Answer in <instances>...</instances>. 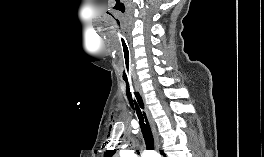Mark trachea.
<instances>
[{
    "mask_svg": "<svg viewBox=\"0 0 264 157\" xmlns=\"http://www.w3.org/2000/svg\"><path fill=\"white\" fill-rule=\"evenodd\" d=\"M121 51L122 78L126 84V95L132 108L137 113L147 150H154V139L148 119L144 112V104L140 94L134 88L132 56L127 43L122 44Z\"/></svg>",
    "mask_w": 264,
    "mask_h": 157,
    "instance_id": "trachea-1",
    "label": "trachea"
}]
</instances>
